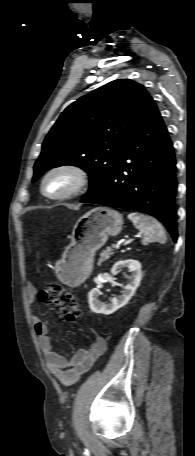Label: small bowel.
<instances>
[{"label":"small bowel","instance_id":"c3829d8e","mask_svg":"<svg viewBox=\"0 0 195 456\" xmlns=\"http://www.w3.org/2000/svg\"><path fill=\"white\" fill-rule=\"evenodd\" d=\"M26 290L28 301L32 304L35 300L36 288L32 284H28ZM32 321L39 347L45 357L46 366L64 386L68 387L77 383L106 351V341L102 337H97L88 349H80L71 359H67L53 348V343L48 334L49 321L41 320L37 316H33Z\"/></svg>","mask_w":195,"mask_h":456}]
</instances>
